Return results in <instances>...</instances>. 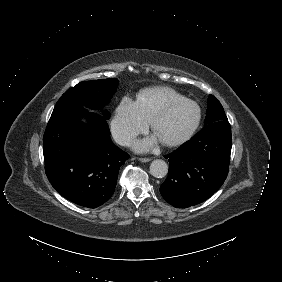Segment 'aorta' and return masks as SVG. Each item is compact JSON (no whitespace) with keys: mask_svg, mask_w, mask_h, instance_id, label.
<instances>
[{"mask_svg":"<svg viewBox=\"0 0 282 282\" xmlns=\"http://www.w3.org/2000/svg\"><path fill=\"white\" fill-rule=\"evenodd\" d=\"M150 172L156 178L164 177L168 172L167 163L162 159H155L150 164Z\"/></svg>","mask_w":282,"mask_h":282,"instance_id":"1","label":"aorta"}]
</instances>
